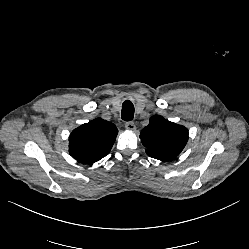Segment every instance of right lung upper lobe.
<instances>
[{
	"mask_svg": "<svg viewBox=\"0 0 249 249\" xmlns=\"http://www.w3.org/2000/svg\"><path fill=\"white\" fill-rule=\"evenodd\" d=\"M117 133L113 123L101 118L85 123L70 134V155L81 163L97 162L110 152Z\"/></svg>",
	"mask_w": 249,
	"mask_h": 249,
	"instance_id": "1",
	"label": "right lung upper lobe"
}]
</instances>
